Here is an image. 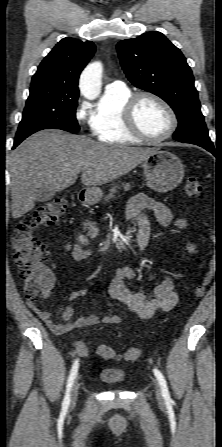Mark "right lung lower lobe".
Here are the masks:
<instances>
[{"label": "right lung lower lobe", "mask_w": 222, "mask_h": 447, "mask_svg": "<svg viewBox=\"0 0 222 447\" xmlns=\"http://www.w3.org/2000/svg\"><path fill=\"white\" fill-rule=\"evenodd\" d=\"M17 145H18L17 143H14V147L13 148H15Z\"/></svg>", "instance_id": "obj_1"}]
</instances>
